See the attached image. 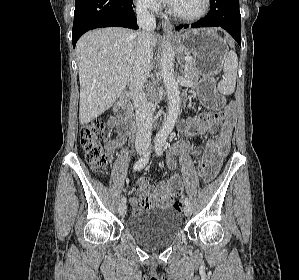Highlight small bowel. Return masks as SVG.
<instances>
[{
	"label": "small bowel",
	"instance_id": "1",
	"mask_svg": "<svg viewBox=\"0 0 299 280\" xmlns=\"http://www.w3.org/2000/svg\"><path fill=\"white\" fill-rule=\"evenodd\" d=\"M179 131L185 137L201 136L206 133L215 134L217 132V124L212 121H199L196 118H191L180 123ZM232 131L233 122L228 119L220 128L217 136L209 139L204 146L191 147L194 153L201 156V160H205L208 163V178L213 177L217 173L223 159L228 154ZM124 143V137L109 141L107 144L108 155L111 157L114 150ZM178 150L179 147H174L170 150V154H174ZM167 165L171 171H175L176 164L173 160H169ZM138 185L137 197L129 199L130 205L135 209L138 206L145 209L154 206L169 207L173 204L175 197L183 191V183L176 173H173L168 181L155 186L150 185L147 177H140Z\"/></svg>",
	"mask_w": 299,
	"mask_h": 280
}]
</instances>
